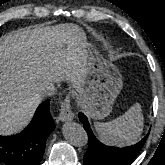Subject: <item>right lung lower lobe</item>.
I'll return each instance as SVG.
<instances>
[{"mask_svg":"<svg viewBox=\"0 0 165 165\" xmlns=\"http://www.w3.org/2000/svg\"><path fill=\"white\" fill-rule=\"evenodd\" d=\"M50 100L40 104L30 124L19 134L0 136V162L6 165H38L46 139L55 124L49 111Z\"/></svg>","mask_w":165,"mask_h":165,"instance_id":"98d812e1","label":"right lung lower lobe"}]
</instances>
